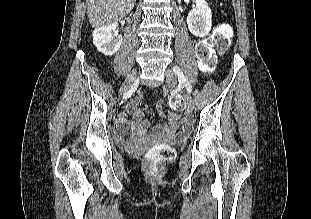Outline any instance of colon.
<instances>
[{
	"label": "colon",
	"instance_id": "obj_1",
	"mask_svg": "<svg viewBox=\"0 0 311 219\" xmlns=\"http://www.w3.org/2000/svg\"><path fill=\"white\" fill-rule=\"evenodd\" d=\"M232 29L226 24L222 23L216 26L210 37L200 42L196 47L197 59L203 67L212 68L214 66L216 57L211 51V46H214L219 54H224L230 47L232 41ZM168 103L173 108H178L179 103L174 98H169ZM175 113H169L172 115ZM119 131L124 133L126 129L119 127ZM173 156V149L167 144H156L152 146L146 153V159L149 169L155 172Z\"/></svg>",
	"mask_w": 311,
	"mask_h": 219
}]
</instances>
